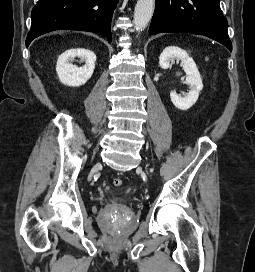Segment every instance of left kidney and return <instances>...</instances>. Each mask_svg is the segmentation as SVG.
Segmentation results:
<instances>
[{
  "mask_svg": "<svg viewBox=\"0 0 255 272\" xmlns=\"http://www.w3.org/2000/svg\"><path fill=\"white\" fill-rule=\"evenodd\" d=\"M175 60L181 61V66L187 75L185 83L189 85L190 90L184 96L171 91L170 98L175 107L180 110H188L199 97L203 88L202 79L193 59L185 50L176 46H169L163 50L159 57V65L162 69H169Z\"/></svg>",
  "mask_w": 255,
  "mask_h": 272,
  "instance_id": "1",
  "label": "left kidney"
}]
</instances>
